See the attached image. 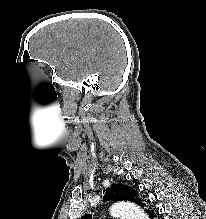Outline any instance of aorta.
Segmentation results:
<instances>
[{
  "label": "aorta",
  "mask_w": 206,
  "mask_h": 219,
  "mask_svg": "<svg viewBox=\"0 0 206 219\" xmlns=\"http://www.w3.org/2000/svg\"><path fill=\"white\" fill-rule=\"evenodd\" d=\"M110 211L114 217L119 219H149L139 206L128 201L116 202L111 206Z\"/></svg>",
  "instance_id": "aorta-1"
}]
</instances>
